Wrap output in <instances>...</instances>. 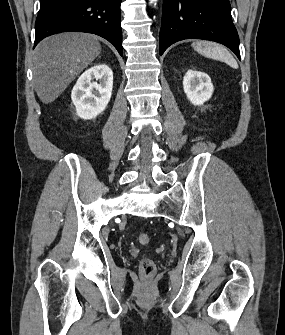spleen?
<instances>
[{
	"instance_id": "spleen-1",
	"label": "spleen",
	"mask_w": 285,
	"mask_h": 335,
	"mask_svg": "<svg viewBox=\"0 0 285 335\" xmlns=\"http://www.w3.org/2000/svg\"><path fill=\"white\" fill-rule=\"evenodd\" d=\"M194 50L199 52L201 56H206V58H213V60H220V62H225L231 68H238L236 60L233 56L219 44H213V42H197V44H192Z\"/></svg>"
}]
</instances>
